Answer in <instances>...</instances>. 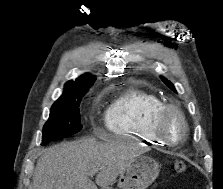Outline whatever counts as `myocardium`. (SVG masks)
I'll return each instance as SVG.
<instances>
[{
    "label": "myocardium",
    "mask_w": 223,
    "mask_h": 189,
    "mask_svg": "<svg viewBox=\"0 0 223 189\" xmlns=\"http://www.w3.org/2000/svg\"><path fill=\"white\" fill-rule=\"evenodd\" d=\"M175 115L177 116L183 125V132L181 137L178 140H170L166 135V123L170 116ZM153 128L157 136L167 145L170 146H177L182 143L186 137L188 136L189 132V125L186 119V116L182 112L180 108L175 105H164L162 109L157 113Z\"/></svg>",
    "instance_id": "myocardium-1"
}]
</instances>
